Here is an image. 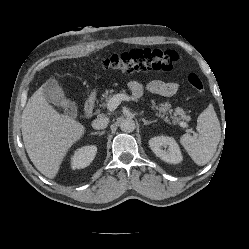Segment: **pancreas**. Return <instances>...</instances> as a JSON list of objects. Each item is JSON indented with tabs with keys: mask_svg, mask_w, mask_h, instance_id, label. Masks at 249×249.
Listing matches in <instances>:
<instances>
[{
	"mask_svg": "<svg viewBox=\"0 0 249 249\" xmlns=\"http://www.w3.org/2000/svg\"><path fill=\"white\" fill-rule=\"evenodd\" d=\"M113 96V90H106L101 100L103 101L101 106H106L108 101ZM152 110L156 112V115L160 118H163L164 121L168 122L170 118L172 119L173 123H177L180 119L188 120L189 117L185 115L183 108L177 107L175 109L174 114L172 115L171 104L168 102L161 103L159 105L152 104ZM170 114V118L168 115Z\"/></svg>",
	"mask_w": 249,
	"mask_h": 249,
	"instance_id": "obj_1",
	"label": "pancreas"
}]
</instances>
